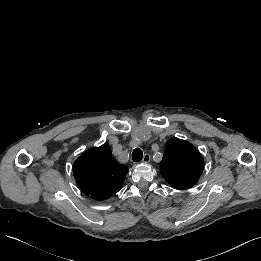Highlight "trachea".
<instances>
[{
    "label": "trachea",
    "instance_id": "trachea-1",
    "mask_svg": "<svg viewBox=\"0 0 261 261\" xmlns=\"http://www.w3.org/2000/svg\"><path fill=\"white\" fill-rule=\"evenodd\" d=\"M143 158V152L140 148H135L132 152V159L134 162H140Z\"/></svg>",
    "mask_w": 261,
    "mask_h": 261
}]
</instances>
